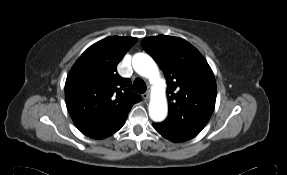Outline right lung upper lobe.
Here are the masks:
<instances>
[{
  "instance_id": "obj_1",
  "label": "right lung upper lobe",
  "mask_w": 287,
  "mask_h": 175,
  "mask_svg": "<svg viewBox=\"0 0 287 175\" xmlns=\"http://www.w3.org/2000/svg\"><path fill=\"white\" fill-rule=\"evenodd\" d=\"M136 41L133 37H107L90 46L69 72L65 83L67 109L86 136H111L124 125L132 106L141 101L132 91L131 81L116 69Z\"/></svg>"
}]
</instances>
